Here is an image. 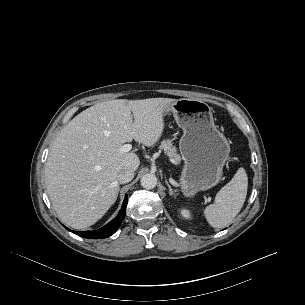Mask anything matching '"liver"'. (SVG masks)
<instances>
[{
    "instance_id": "6515ba94",
    "label": "liver",
    "mask_w": 305,
    "mask_h": 305,
    "mask_svg": "<svg viewBox=\"0 0 305 305\" xmlns=\"http://www.w3.org/2000/svg\"><path fill=\"white\" fill-rule=\"evenodd\" d=\"M175 101L101 102L82 111L60 131L45 165V183L64 224L84 229L104 216L117 199L119 171H135L140 165L139 156L121 152V146L133 139L154 146L164 130V113Z\"/></svg>"
}]
</instances>
